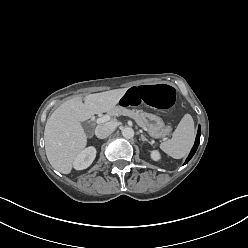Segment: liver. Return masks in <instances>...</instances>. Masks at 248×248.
<instances>
[{
  "mask_svg": "<svg viewBox=\"0 0 248 248\" xmlns=\"http://www.w3.org/2000/svg\"><path fill=\"white\" fill-rule=\"evenodd\" d=\"M127 88L77 95L61 104L48 118L44 141L51 166L63 174L72 170L75 158L87 145V135L81 122L94 114L109 112L126 93Z\"/></svg>",
  "mask_w": 248,
  "mask_h": 248,
  "instance_id": "6515ba94",
  "label": "liver"
}]
</instances>
